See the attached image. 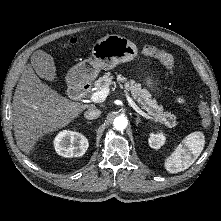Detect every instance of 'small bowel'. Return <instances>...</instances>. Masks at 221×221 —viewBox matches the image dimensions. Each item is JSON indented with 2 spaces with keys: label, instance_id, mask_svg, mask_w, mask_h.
<instances>
[{
  "label": "small bowel",
  "instance_id": "small-bowel-1",
  "mask_svg": "<svg viewBox=\"0 0 221 221\" xmlns=\"http://www.w3.org/2000/svg\"><path fill=\"white\" fill-rule=\"evenodd\" d=\"M177 100H178V102H180V103H182V102L184 101L182 98H178Z\"/></svg>",
  "mask_w": 221,
  "mask_h": 221
}]
</instances>
